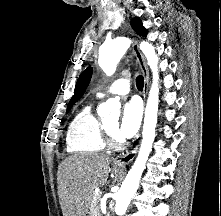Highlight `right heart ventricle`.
I'll return each mask as SVG.
<instances>
[{"label": "right heart ventricle", "instance_id": "e07e8e85", "mask_svg": "<svg viewBox=\"0 0 221 216\" xmlns=\"http://www.w3.org/2000/svg\"><path fill=\"white\" fill-rule=\"evenodd\" d=\"M66 144L67 150L73 153H97L105 149L103 123L91 106L84 107L71 122Z\"/></svg>", "mask_w": 221, "mask_h": 216}]
</instances>
